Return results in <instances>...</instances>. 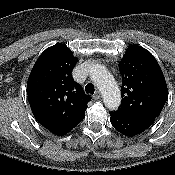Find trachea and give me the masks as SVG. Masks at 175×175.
<instances>
[{"mask_svg":"<svg viewBox=\"0 0 175 175\" xmlns=\"http://www.w3.org/2000/svg\"><path fill=\"white\" fill-rule=\"evenodd\" d=\"M85 91H86L87 94H94V92H95L94 85L91 84V83H88V84L85 86Z\"/></svg>","mask_w":175,"mask_h":175,"instance_id":"obj_1","label":"trachea"}]
</instances>
